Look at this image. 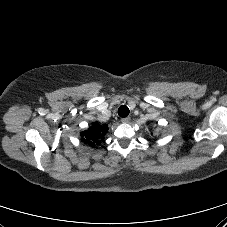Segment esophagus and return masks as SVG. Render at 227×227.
Listing matches in <instances>:
<instances>
[{
    "label": "esophagus",
    "mask_w": 227,
    "mask_h": 227,
    "mask_svg": "<svg viewBox=\"0 0 227 227\" xmlns=\"http://www.w3.org/2000/svg\"><path fill=\"white\" fill-rule=\"evenodd\" d=\"M123 123H129L130 122V117H124L121 119Z\"/></svg>",
    "instance_id": "34e87169"
}]
</instances>
